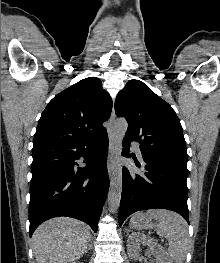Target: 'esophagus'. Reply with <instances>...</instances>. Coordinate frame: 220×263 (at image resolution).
<instances>
[{"label":"esophagus","instance_id":"34e87169","mask_svg":"<svg viewBox=\"0 0 220 263\" xmlns=\"http://www.w3.org/2000/svg\"><path fill=\"white\" fill-rule=\"evenodd\" d=\"M115 110L112 109V113L109 119L108 137H109V153L107 159V170L109 177L112 178L114 168H115V157L117 150V141L114 133V122H115Z\"/></svg>","mask_w":220,"mask_h":263}]
</instances>
